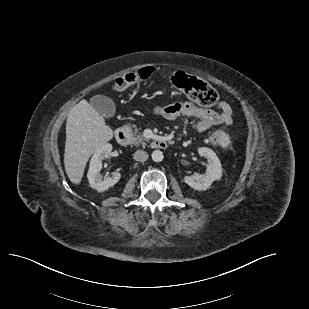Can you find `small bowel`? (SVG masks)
I'll use <instances>...</instances> for the list:
<instances>
[{
	"label": "small bowel",
	"instance_id": "1",
	"mask_svg": "<svg viewBox=\"0 0 309 309\" xmlns=\"http://www.w3.org/2000/svg\"><path fill=\"white\" fill-rule=\"evenodd\" d=\"M153 113L167 120H174L179 116L195 119V129L205 132L213 126L230 125L233 122V110L226 102L218 105V110L205 109L192 102H175L166 106H156Z\"/></svg>",
	"mask_w": 309,
	"mask_h": 309
}]
</instances>
